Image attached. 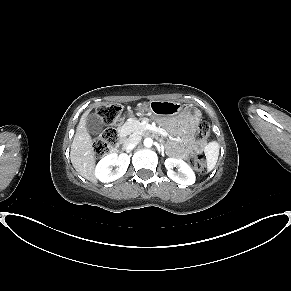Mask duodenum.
I'll return each mask as SVG.
<instances>
[{
	"instance_id": "410a0bca",
	"label": "duodenum",
	"mask_w": 291,
	"mask_h": 291,
	"mask_svg": "<svg viewBox=\"0 0 291 291\" xmlns=\"http://www.w3.org/2000/svg\"><path fill=\"white\" fill-rule=\"evenodd\" d=\"M128 144L127 142V136H122L120 143H118V145H116V148H113V153H120L123 151L124 146H126Z\"/></svg>"
}]
</instances>
